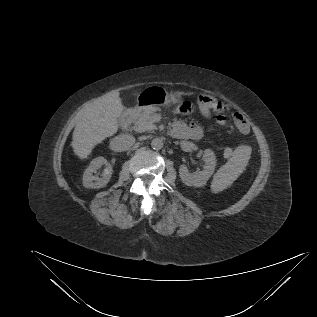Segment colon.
Masks as SVG:
<instances>
[{
	"label": "colon",
	"mask_w": 317,
	"mask_h": 317,
	"mask_svg": "<svg viewBox=\"0 0 317 317\" xmlns=\"http://www.w3.org/2000/svg\"><path fill=\"white\" fill-rule=\"evenodd\" d=\"M197 105L201 111H214L217 114V118L222 120L228 109L216 98L210 95H201L197 99ZM190 110V104L186 103L181 108V112H188ZM241 114L235 113L233 119L238 127H243V121H241ZM244 117V116H243ZM245 118V117H244ZM246 120V119H245ZM247 122V120H246Z\"/></svg>",
	"instance_id": "obj_1"
}]
</instances>
